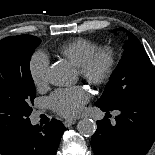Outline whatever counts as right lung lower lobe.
<instances>
[{
  "label": "right lung lower lobe",
  "mask_w": 155,
  "mask_h": 155,
  "mask_svg": "<svg viewBox=\"0 0 155 155\" xmlns=\"http://www.w3.org/2000/svg\"><path fill=\"white\" fill-rule=\"evenodd\" d=\"M64 129L56 119L42 128L30 123L18 134L0 142V155H55Z\"/></svg>",
  "instance_id": "obj_1"
}]
</instances>
